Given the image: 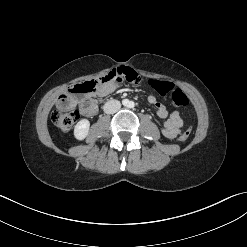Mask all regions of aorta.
Instances as JSON below:
<instances>
[{
	"label": "aorta",
	"instance_id": "1",
	"mask_svg": "<svg viewBox=\"0 0 247 247\" xmlns=\"http://www.w3.org/2000/svg\"><path fill=\"white\" fill-rule=\"evenodd\" d=\"M125 106L132 107L133 106V102L132 101H127L125 103Z\"/></svg>",
	"mask_w": 247,
	"mask_h": 247
}]
</instances>
